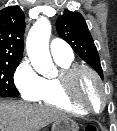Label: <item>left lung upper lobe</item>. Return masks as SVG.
Masks as SVG:
<instances>
[{
  "mask_svg": "<svg viewBox=\"0 0 117 131\" xmlns=\"http://www.w3.org/2000/svg\"><path fill=\"white\" fill-rule=\"evenodd\" d=\"M56 29L59 36L71 45L75 53L103 78L100 58L82 15L70 11L64 13L57 19Z\"/></svg>",
  "mask_w": 117,
  "mask_h": 131,
  "instance_id": "left-lung-upper-lobe-1",
  "label": "left lung upper lobe"
}]
</instances>
